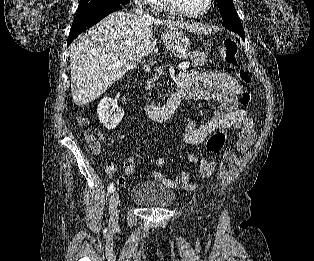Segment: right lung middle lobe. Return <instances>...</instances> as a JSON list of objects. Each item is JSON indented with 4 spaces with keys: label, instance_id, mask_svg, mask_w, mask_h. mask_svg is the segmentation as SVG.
Wrapping results in <instances>:
<instances>
[{
    "label": "right lung middle lobe",
    "instance_id": "dd1d6c3e",
    "mask_svg": "<svg viewBox=\"0 0 314 261\" xmlns=\"http://www.w3.org/2000/svg\"><path fill=\"white\" fill-rule=\"evenodd\" d=\"M130 0H80L76 17L113 4H127Z\"/></svg>",
    "mask_w": 314,
    "mask_h": 261
}]
</instances>
